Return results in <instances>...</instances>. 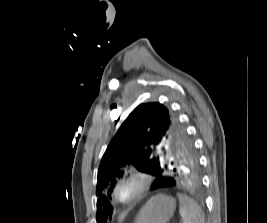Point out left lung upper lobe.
<instances>
[{
	"label": "left lung upper lobe",
	"instance_id": "obj_1",
	"mask_svg": "<svg viewBox=\"0 0 267 223\" xmlns=\"http://www.w3.org/2000/svg\"><path fill=\"white\" fill-rule=\"evenodd\" d=\"M130 165L153 176L169 171H199L193 143L171 109L160 103L141 104L120 126L98 169L97 223L106 221L112 212L105 194L110 196Z\"/></svg>",
	"mask_w": 267,
	"mask_h": 223
}]
</instances>
